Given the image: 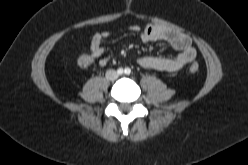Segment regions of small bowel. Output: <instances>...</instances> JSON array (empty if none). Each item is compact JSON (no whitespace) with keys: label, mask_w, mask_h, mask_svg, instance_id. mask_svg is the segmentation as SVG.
Returning a JSON list of instances; mask_svg holds the SVG:
<instances>
[{"label":"small bowel","mask_w":248,"mask_h":165,"mask_svg":"<svg viewBox=\"0 0 248 165\" xmlns=\"http://www.w3.org/2000/svg\"><path fill=\"white\" fill-rule=\"evenodd\" d=\"M129 31L137 33L141 31V27L133 25ZM110 36L111 31L103 30L95 33L90 40L89 55L92 59H98L100 67L106 66L112 59V52L102 45V42ZM140 39L146 43L162 41L178 51L174 57L142 56L138 58V65L145 69L169 73L177 72L192 63L197 55L189 36L161 25H147L141 31Z\"/></svg>","instance_id":"small-bowel-1"}]
</instances>
